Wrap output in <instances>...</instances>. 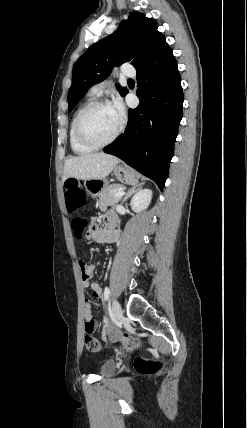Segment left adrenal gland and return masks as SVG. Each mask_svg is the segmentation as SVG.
Listing matches in <instances>:
<instances>
[{
    "label": "left adrenal gland",
    "instance_id": "a2214340",
    "mask_svg": "<svg viewBox=\"0 0 247 428\" xmlns=\"http://www.w3.org/2000/svg\"><path fill=\"white\" fill-rule=\"evenodd\" d=\"M143 184H144V182L138 183V184L132 186L129 190H127V192L125 193L121 203L123 204L128 199V197H130L133 193H135L137 190H139V187H141Z\"/></svg>",
    "mask_w": 247,
    "mask_h": 428
}]
</instances>
